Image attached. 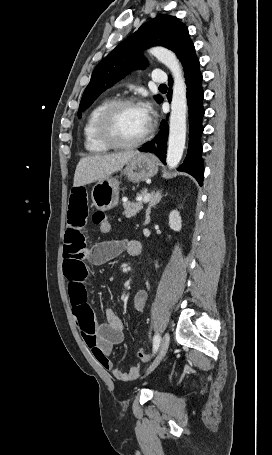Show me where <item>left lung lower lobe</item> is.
I'll use <instances>...</instances> for the list:
<instances>
[{
	"mask_svg": "<svg viewBox=\"0 0 272 455\" xmlns=\"http://www.w3.org/2000/svg\"><path fill=\"white\" fill-rule=\"evenodd\" d=\"M185 79L187 85V101L189 108V145L187 156L183 164L178 168L191 174L200 185L203 184V161L201 159L202 146L200 142L203 133L202 117L204 109L202 105L204 92L202 90V74L199 70V60H189L184 66ZM169 86H172V79L169 80ZM172 90L169 88L167 94L168 100H171ZM162 98L158 101L161 102ZM169 127L165 120L161 122L160 133L151 142L139 148L142 152L155 153L159 159L166 164V148ZM157 143V149H153Z\"/></svg>",
	"mask_w": 272,
	"mask_h": 455,
	"instance_id": "1",
	"label": "left lung lower lobe"
}]
</instances>
